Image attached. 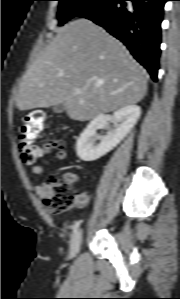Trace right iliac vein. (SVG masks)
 <instances>
[{
  "label": "right iliac vein",
  "mask_w": 180,
  "mask_h": 299,
  "mask_svg": "<svg viewBox=\"0 0 180 299\" xmlns=\"http://www.w3.org/2000/svg\"><path fill=\"white\" fill-rule=\"evenodd\" d=\"M82 242V232L81 230L77 231L74 237L72 238L70 242V248H69V257L74 258L80 250Z\"/></svg>",
  "instance_id": "obj_1"
}]
</instances>
